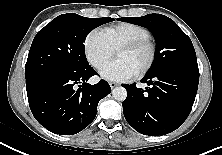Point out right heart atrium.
Listing matches in <instances>:
<instances>
[{"label":"right heart atrium","instance_id":"1","mask_svg":"<svg viewBox=\"0 0 222 155\" xmlns=\"http://www.w3.org/2000/svg\"><path fill=\"white\" fill-rule=\"evenodd\" d=\"M84 52L89 64L95 69H101L114 54L103 33L98 30H93L86 36Z\"/></svg>","mask_w":222,"mask_h":155}]
</instances>
